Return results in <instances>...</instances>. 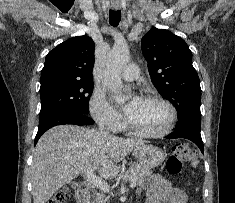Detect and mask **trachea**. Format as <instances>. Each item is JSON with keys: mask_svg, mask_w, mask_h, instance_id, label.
Segmentation results:
<instances>
[{"mask_svg": "<svg viewBox=\"0 0 235 203\" xmlns=\"http://www.w3.org/2000/svg\"><path fill=\"white\" fill-rule=\"evenodd\" d=\"M121 20V11L110 10L109 11V23L113 27H117Z\"/></svg>", "mask_w": 235, "mask_h": 203, "instance_id": "trachea-1", "label": "trachea"}]
</instances>
